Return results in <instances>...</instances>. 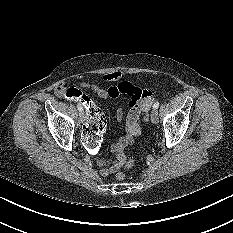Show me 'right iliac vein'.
Segmentation results:
<instances>
[{
    "label": "right iliac vein",
    "instance_id": "1",
    "mask_svg": "<svg viewBox=\"0 0 233 233\" xmlns=\"http://www.w3.org/2000/svg\"><path fill=\"white\" fill-rule=\"evenodd\" d=\"M85 120H86V115H85V113H84V112H80V114H79V122H80V123H84Z\"/></svg>",
    "mask_w": 233,
    "mask_h": 233
}]
</instances>
